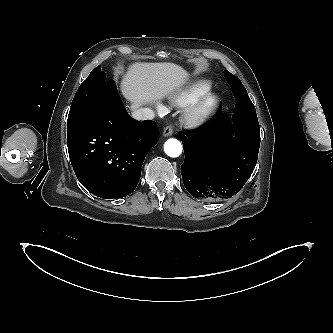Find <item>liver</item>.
<instances>
[{"label":"liver","mask_w":333,"mask_h":333,"mask_svg":"<svg viewBox=\"0 0 333 333\" xmlns=\"http://www.w3.org/2000/svg\"><path fill=\"white\" fill-rule=\"evenodd\" d=\"M188 78V72L174 63L136 62L122 75L121 92L131 108L137 109L172 95Z\"/></svg>","instance_id":"obj_1"}]
</instances>
